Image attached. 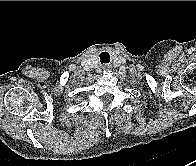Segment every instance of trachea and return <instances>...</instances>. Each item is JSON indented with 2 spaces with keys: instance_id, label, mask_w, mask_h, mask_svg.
<instances>
[{
  "instance_id": "1",
  "label": "trachea",
  "mask_w": 196,
  "mask_h": 166,
  "mask_svg": "<svg viewBox=\"0 0 196 166\" xmlns=\"http://www.w3.org/2000/svg\"><path fill=\"white\" fill-rule=\"evenodd\" d=\"M99 56H100L101 63H109L110 62V55L108 52H102Z\"/></svg>"
}]
</instances>
